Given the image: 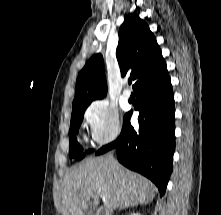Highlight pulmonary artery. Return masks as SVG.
I'll return each instance as SVG.
<instances>
[{"label":"pulmonary artery","mask_w":221,"mask_h":215,"mask_svg":"<svg viewBox=\"0 0 221 215\" xmlns=\"http://www.w3.org/2000/svg\"><path fill=\"white\" fill-rule=\"evenodd\" d=\"M123 97H124L125 99H129V98L131 97V92H130V90L125 89V90L123 91Z\"/></svg>","instance_id":"pulmonary-artery-1"}]
</instances>
